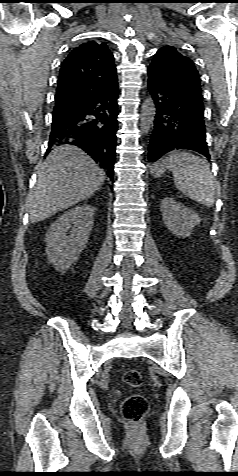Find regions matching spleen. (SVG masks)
<instances>
[{"instance_id":"1","label":"spleen","mask_w":238,"mask_h":476,"mask_svg":"<svg viewBox=\"0 0 238 476\" xmlns=\"http://www.w3.org/2000/svg\"><path fill=\"white\" fill-rule=\"evenodd\" d=\"M174 183L184 195L211 207L215 201L214 177L208 163L189 152H173L164 159Z\"/></svg>"}]
</instances>
